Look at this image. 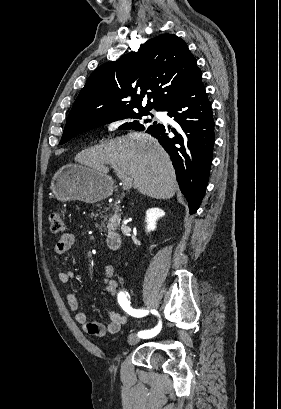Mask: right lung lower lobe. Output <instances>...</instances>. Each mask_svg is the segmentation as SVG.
Listing matches in <instances>:
<instances>
[{"label":"right lung lower lobe","mask_w":281,"mask_h":409,"mask_svg":"<svg viewBox=\"0 0 281 409\" xmlns=\"http://www.w3.org/2000/svg\"><path fill=\"white\" fill-rule=\"evenodd\" d=\"M201 78L200 71L159 110L173 118L176 129L156 123L147 129L169 153L190 214L196 212L205 193L215 137L211 104Z\"/></svg>","instance_id":"1"}]
</instances>
